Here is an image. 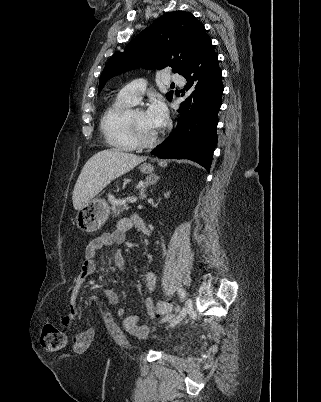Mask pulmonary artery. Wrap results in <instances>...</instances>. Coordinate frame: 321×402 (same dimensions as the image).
Segmentation results:
<instances>
[{
	"label": "pulmonary artery",
	"mask_w": 321,
	"mask_h": 402,
	"mask_svg": "<svg viewBox=\"0 0 321 402\" xmlns=\"http://www.w3.org/2000/svg\"><path fill=\"white\" fill-rule=\"evenodd\" d=\"M184 82H185L184 77L179 74H172L166 79H164L165 84L174 83L182 85L184 84ZM144 89L145 84L142 80L133 81L120 90L118 98L131 104H135L142 97Z\"/></svg>",
	"instance_id": "pulmonary-artery-1"
}]
</instances>
